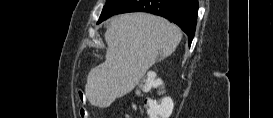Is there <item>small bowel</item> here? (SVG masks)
<instances>
[{
    "label": "small bowel",
    "mask_w": 273,
    "mask_h": 118,
    "mask_svg": "<svg viewBox=\"0 0 273 118\" xmlns=\"http://www.w3.org/2000/svg\"><path fill=\"white\" fill-rule=\"evenodd\" d=\"M78 96H79V100H80L81 103L86 102V96H85L84 92L80 91ZM80 116H81V118H87L88 117V113H87L86 109H84V108L80 109Z\"/></svg>",
    "instance_id": "obj_1"
}]
</instances>
